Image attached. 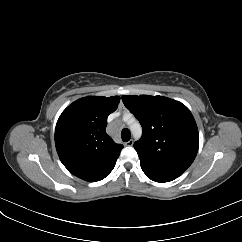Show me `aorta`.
Listing matches in <instances>:
<instances>
[{"instance_id": "obj_1", "label": "aorta", "mask_w": 242, "mask_h": 242, "mask_svg": "<svg viewBox=\"0 0 242 242\" xmlns=\"http://www.w3.org/2000/svg\"><path fill=\"white\" fill-rule=\"evenodd\" d=\"M130 129L134 138L138 139L141 136L142 128L138 122H134L132 125H130Z\"/></svg>"}]
</instances>
